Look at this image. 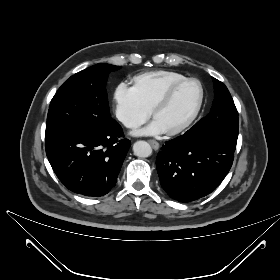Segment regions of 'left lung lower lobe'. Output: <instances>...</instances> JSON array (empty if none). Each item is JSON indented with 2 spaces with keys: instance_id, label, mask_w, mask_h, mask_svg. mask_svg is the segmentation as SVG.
<instances>
[{
  "instance_id": "obj_1",
  "label": "left lung lower lobe",
  "mask_w": 280,
  "mask_h": 280,
  "mask_svg": "<svg viewBox=\"0 0 280 280\" xmlns=\"http://www.w3.org/2000/svg\"><path fill=\"white\" fill-rule=\"evenodd\" d=\"M236 145L207 134H183L169 140L157 155L164 191L179 202L210 194L228 174Z\"/></svg>"
}]
</instances>
